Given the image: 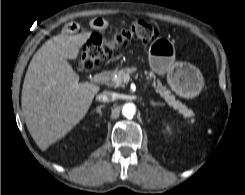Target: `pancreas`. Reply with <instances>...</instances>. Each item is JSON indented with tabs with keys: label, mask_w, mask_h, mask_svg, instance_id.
Instances as JSON below:
<instances>
[{
	"label": "pancreas",
	"mask_w": 245,
	"mask_h": 195,
	"mask_svg": "<svg viewBox=\"0 0 245 195\" xmlns=\"http://www.w3.org/2000/svg\"><path fill=\"white\" fill-rule=\"evenodd\" d=\"M136 70L137 69L135 67H132L112 71L108 74V83L114 87L124 86V84L127 82L125 79L133 72H136ZM148 76L153 78L152 85L155 91L160 94V96L167 102V104L177 110L178 113L181 114L184 118H187L188 123H194L195 119L193 118V111L186 107V105L176 100L175 96L172 95L171 92L162 85L160 80L156 79V76L152 72H149Z\"/></svg>",
	"instance_id": "cf45deb5"
}]
</instances>
